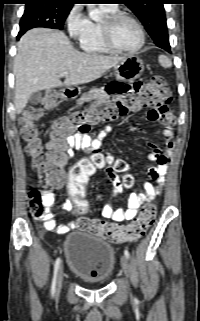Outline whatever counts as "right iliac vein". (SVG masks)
I'll list each match as a JSON object with an SVG mask.
<instances>
[{"instance_id":"obj_1","label":"right iliac vein","mask_w":200,"mask_h":321,"mask_svg":"<svg viewBox=\"0 0 200 321\" xmlns=\"http://www.w3.org/2000/svg\"><path fill=\"white\" fill-rule=\"evenodd\" d=\"M63 277H64V273H63V268L61 267L57 276L56 295L60 293L62 283H63Z\"/></svg>"}]
</instances>
